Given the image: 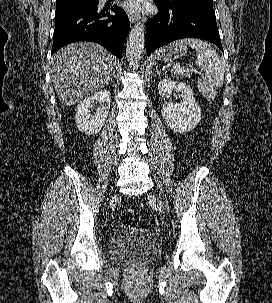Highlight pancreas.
I'll list each match as a JSON object with an SVG mask.
<instances>
[{
	"instance_id": "1",
	"label": "pancreas",
	"mask_w": 272,
	"mask_h": 303,
	"mask_svg": "<svg viewBox=\"0 0 272 303\" xmlns=\"http://www.w3.org/2000/svg\"><path fill=\"white\" fill-rule=\"evenodd\" d=\"M172 72H173L174 74L181 75L182 77H187V76H188L187 73H185V72L182 71V70L176 69V68H175L174 70H172Z\"/></svg>"
}]
</instances>
